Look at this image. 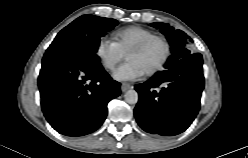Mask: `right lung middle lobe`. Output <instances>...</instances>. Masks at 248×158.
Returning <instances> with one entry per match:
<instances>
[{
  "mask_svg": "<svg viewBox=\"0 0 248 158\" xmlns=\"http://www.w3.org/2000/svg\"><path fill=\"white\" fill-rule=\"evenodd\" d=\"M111 18L83 15L62 29L48 50L63 49L84 54H96L100 38L117 25Z\"/></svg>",
  "mask_w": 248,
  "mask_h": 158,
  "instance_id": "1",
  "label": "right lung middle lobe"
}]
</instances>
